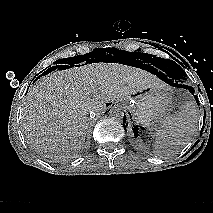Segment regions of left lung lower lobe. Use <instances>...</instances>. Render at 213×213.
Returning <instances> with one entry per match:
<instances>
[{"mask_svg": "<svg viewBox=\"0 0 213 213\" xmlns=\"http://www.w3.org/2000/svg\"><path fill=\"white\" fill-rule=\"evenodd\" d=\"M155 71H156L155 72L156 75L159 78H161L163 81H165L166 83H168V84H170L172 86H175V87H182V88L188 89L193 94V96L195 97V100H196L197 104H199L198 98L194 95V89L191 86H187V85H185L183 83H178V82L174 81L171 77H169V75L167 73H163V72L158 71L156 69H155ZM124 117H125V114H124ZM124 123H126V117L124 118ZM123 126H125V125H123ZM134 131H135V128H134ZM136 133H138V132H136Z\"/></svg>", "mask_w": 213, "mask_h": 213, "instance_id": "1", "label": "left lung lower lobe"}]
</instances>
